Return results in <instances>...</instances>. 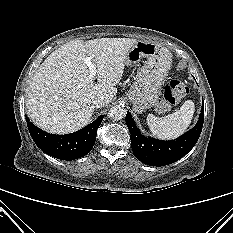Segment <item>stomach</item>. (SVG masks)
I'll return each instance as SVG.
<instances>
[{
  "label": "stomach",
  "mask_w": 233,
  "mask_h": 233,
  "mask_svg": "<svg viewBox=\"0 0 233 233\" xmlns=\"http://www.w3.org/2000/svg\"><path fill=\"white\" fill-rule=\"evenodd\" d=\"M142 57L147 61L128 91V98L137 113H142L158 103L162 82L171 65V53L167 48L138 40L129 50L126 64H135Z\"/></svg>",
  "instance_id": "stomach-1"
}]
</instances>
